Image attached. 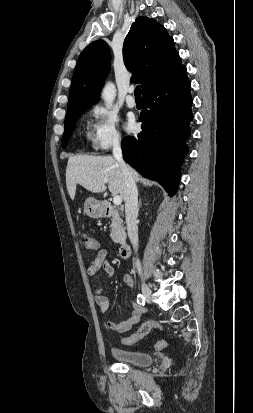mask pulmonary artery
Instances as JSON below:
<instances>
[{
	"instance_id": "obj_1",
	"label": "pulmonary artery",
	"mask_w": 253,
	"mask_h": 413,
	"mask_svg": "<svg viewBox=\"0 0 253 413\" xmlns=\"http://www.w3.org/2000/svg\"><path fill=\"white\" fill-rule=\"evenodd\" d=\"M134 88H129L128 95L126 97V104L129 108H134L136 106V101L133 97Z\"/></svg>"
}]
</instances>
